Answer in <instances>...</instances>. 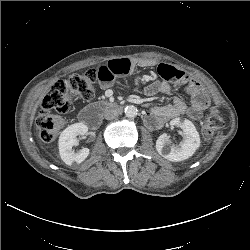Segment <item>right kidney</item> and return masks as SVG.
<instances>
[{
  "label": "right kidney",
  "mask_w": 250,
  "mask_h": 250,
  "mask_svg": "<svg viewBox=\"0 0 250 250\" xmlns=\"http://www.w3.org/2000/svg\"><path fill=\"white\" fill-rule=\"evenodd\" d=\"M88 132L87 125L83 123H75L62 131L59 137V153L62 161L67 165H72L74 162L80 164L89 155L88 148H82L78 152H74L72 147L77 145V136L86 135Z\"/></svg>",
  "instance_id": "right-kidney-1"
}]
</instances>
